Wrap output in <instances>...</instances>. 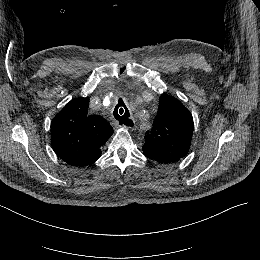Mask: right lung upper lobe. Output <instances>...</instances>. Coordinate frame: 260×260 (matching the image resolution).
<instances>
[{
  "label": "right lung upper lobe",
  "mask_w": 260,
  "mask_h": 260,
  "mask_svg": "<svg viewBox=\"0 0 260 260\" xmlns=\"http://www.w3.org/2000/svg\"><path fill=\"white\" fill-rule=\"evenodd\" d=\"M89 98L70 101L51 122V143L57 155L72 166H87L101 156V147L113 134L99 115H89Z\"/></svg>",
  "instance_id": "obj_1"
}]
</instances>
